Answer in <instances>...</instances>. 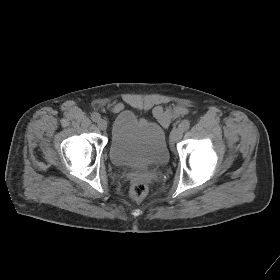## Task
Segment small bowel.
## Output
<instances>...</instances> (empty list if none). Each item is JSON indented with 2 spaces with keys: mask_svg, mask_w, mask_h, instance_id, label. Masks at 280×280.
<instances>
[{
  "mask_svg": "<svg viewBox=\"0 0 280 280\" xmlns=\"http://www.w3.org/2000/svg\"><path fill=\"white\" fill-rule=\"evenodd\" d=\"M121 108V104H114L111 109L116 111ZM187 109L181 105H176L171 109H164L160 106L154 109L155 116L164 124L169 125L170 122L177 116L186 114Z\"/></svg>",
  "mask_w": 280,
  "mask_h": 280,
  "instance_id": "c3829d8e",
  "label": "small bowel"
}]
</instances>
